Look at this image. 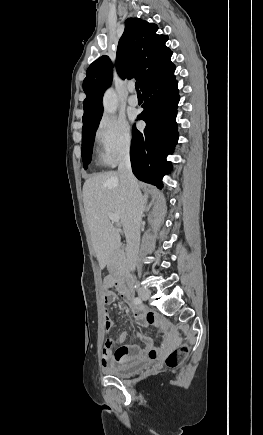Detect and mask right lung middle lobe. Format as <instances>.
I'll use <instances>...</instances> for the list:
<instances>
[{
  "label": "right lung middle lobe",
  "instance_id": "1",
  "mask_svg": "<svg viewBox=\"0 0 263 435\" xmlns=\"http://www.w3.org/2000/svg\"><path fill=\"white\" fill-rule=\"evenodd\" d=\"M100 120L93 126L82 130V159L84 168L87 169V165L91 161L92 147L94 143V137L98 128Z\"/></svg>",
  "mask_w": 263,
  "mask_h": 435
}]
</instances>
